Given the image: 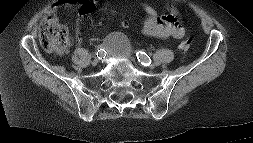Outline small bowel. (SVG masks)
<instances>
[{
	"label": "small bowel",
	"mask_w": 253,
	"mask_h": 143,
	"mask_svg": "<svg viewBox=\"0 0 253 143\" xmlns=\"http://www.w3.org/2000/svg\"><path fill=\"white\" fill-rule=\"evenodd\" d=\"M99 0H57L55 4L47 12L46 20L57 22V11L63 6H78L79 17L76 24L75 37L80 40V24L83 19L90 14L96 7ZM144 12L146 18L143 24V33L150 37L169 38L173 37L179 39L184 35L183 27L175 20L173 14L157 13L151 5H144ZM121 27H127L128 21L122 19L120 21Z\"/></svg>",
	"instance_id": "obj_1"
}]
</instances>
